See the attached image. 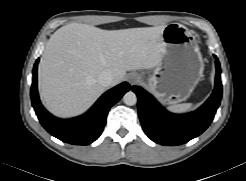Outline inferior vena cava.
<instances>
[{"label": "inferior vena cava", "instance_id": "obj_1", "mask_svg": "<svg viewBox=\"0 0 246 181\" xmlns=\"http://www.w3.org/2000/svg\"><path fill=\"white\" fill-rule=\"evenodd\" d=\"M113 73L106 69L103 70L98 76V83L103 87L110 86L113 83Z\"/></svg>", "mask_w": 246, "mask_h": 181}]
</instances>
